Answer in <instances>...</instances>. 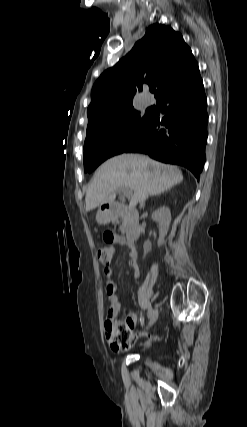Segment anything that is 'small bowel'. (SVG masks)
I'll list each match as a JSON object with an SVG mask.
<instances>
[{
    "mask_svg": "<svg viewBox=\"0 0 247 427\" xmlns=\"http://www.w3.org/2000/svg\"><path fill=\"white\" fill-rule=\"evenodd\" d=\"M103 239H104V244L107 246L112 245V243H116L122 246L129 247V250L127 252V261H128V264L134 268V272L132 273V275L135 279H137L139 277V270L137 267L136 250L132 246H128L125 243L124 237L114 234V231L112 229H105L103 231ZM105 274L107 276L106 294L110 303L109 310H108V317L115 319L121 309V302L116 293V289H117L116 283L111 277L110 268L105 269ZM128 274H131V272H128ZM136 321H137L136 314L134 312H130L127 314L124 323L128 324L133 329L136 324Z\"/></svg>",
    "mask_w": 247,
    "mask_h": 427,
    "instance_id": "1",
    "label": "small bowel"
}]
</instances>
